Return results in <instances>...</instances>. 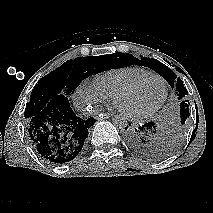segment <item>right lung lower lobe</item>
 Listing matches in <instances>:
<instances>
[{
    "mask_svg": "<svg viewBox=\"0 0 213 213\" xmlns=\"http://www.w3.org/2000/svg\"><path fill=\"white\" fill-rule=\"evenodd\" d=\"M96 122L78 117L69 99L58 95L26 121L30 141L41 158L52 164L75 159L82 151L89 128Z\"/></svg>",
    "mask_w": 213,
    "mask_h": 213,
    "instance_id": "98d812e1",
    "label": "right lung lower lobe"
}]
</instances>
